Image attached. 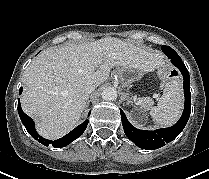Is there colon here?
Segmentation results:
<instances>
[{
  "instance_id": "obj_1",
  "label": "colon",
  "mask_w": 209,
  "mask_h": 179,
  "mask_svg": "<svg viewBox=\"0 0 209 179\" xmlns=\"http://www.w3.org/2000/svg\"><path fill=\"white\" fill-rule=\"evenodd\" d=\"M176 75H177L176 71H171L168 75V78L171 79V78L175 77Z\"/></svg>"
}]
</instances>
